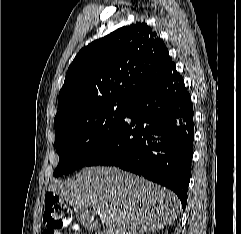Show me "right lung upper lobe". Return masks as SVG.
<instances>
[{
  "instance_id": "right-lung-upper-lobe-1",
  "label": "right lung upper lobe",
  "mask_w": 241,
  "mask_h": 234,
  "mask_svg": "<svg viewBox=\"0 0 241 234\" xmlns=\"http://www.w3.org/2000/svg\"><path fill=\"white\" fill-rule=\"evenodd\" d=\"M173 64L164 42L146 23L121 27L90 43L79 51L66 73L55 131L92 108L128 104Z\"/></svg>"
}]
</instances>
